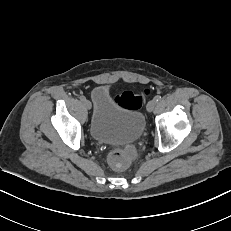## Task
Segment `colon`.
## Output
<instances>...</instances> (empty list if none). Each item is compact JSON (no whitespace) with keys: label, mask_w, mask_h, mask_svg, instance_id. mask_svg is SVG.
Here are the masks:
<instances>
[{"label":"colon","mask_w":231,"mask_h":231,"mask_svg":"<svg viewBox=\"0 0 231 231\" xmlns=\"http://www.w3.org/2000/svg\"><path fill=\"white\" fill-rule=\"evenodd\" d=\"M149 94V89H145L139 94L126 90L118 91L114 98L124 107L138 109ZM133 154L132 148L116 149L109 154L108 162L112 168L116 170H123L129 166L133 158Z\"/></svg>","instance_id":"obj_1"}]
</instances>
